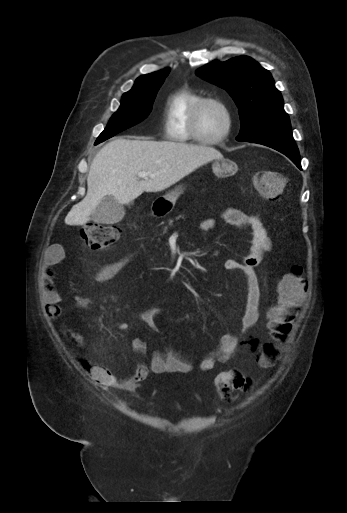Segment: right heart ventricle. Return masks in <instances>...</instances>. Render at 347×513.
Masks as SVG:
<instances>
[{
	"label": "right heart ventricle",
	"mask_w": 347,
	"mask_h": 513,
	"mask_svg": "<svg viewBox=\"0 0 347 513\" xmlns=\"http://www.w3.org/2000/svg\"><path fill=\"white\" fill-rule=\"evenodd\" d=\"M203 96L188 87L173 92L166 103L164 130L166 137L178 143H200L189 128L193 108Z\"/></svg>",
	"instance_id": "obj_1"
}]
</instances>
